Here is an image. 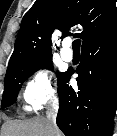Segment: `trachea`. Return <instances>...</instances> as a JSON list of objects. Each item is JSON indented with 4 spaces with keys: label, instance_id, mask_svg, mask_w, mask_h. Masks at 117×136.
<instances>
[{
    "label": "trachea",
    "instance_id": "1",
    "mask_svg": "<svg viewBox=\"0 0 117 136\" xmlns=\"http://www.w3.org/2000/svg\"><path fill=\"white\" fill-rule=\"evenodd\" d=\"M80 44L81 41L79 39L74 40L72 43L73 51H80Z\"/></svg>",
    "mask_w": 117,
    "mask_h": 136
}]
</instances>
